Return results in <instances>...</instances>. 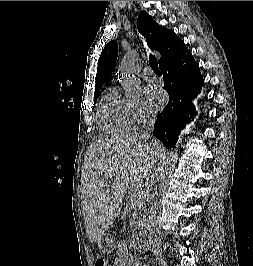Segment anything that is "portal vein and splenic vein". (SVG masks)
Instances as JSON below:
<instances>
[{
    "instance_id": "18ae733b",
    "label": "portal vein and splenic vein",
    "mask_w": 253,
    "mask_h": 266,
    "mask_svg": "<svg viewBox=\"0 0 253 266\" xmlns=\"http://www.w3.org/2000/svg\"><path fill=\"white\" fill-rule=\"evenodd\" d=\"M137 191H138V189H137L136 187H134V189H133V193L136 194Z\"/></svg>"
}]
</instances>
